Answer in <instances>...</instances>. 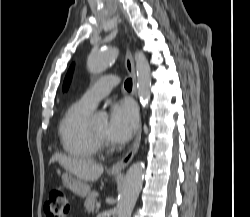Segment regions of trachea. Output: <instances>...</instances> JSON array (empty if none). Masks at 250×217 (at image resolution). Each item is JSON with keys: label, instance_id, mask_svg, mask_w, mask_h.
I'll return each mask as SVG.
<instances>
[{"label": "trachea", "instance_id": "trachea-1", "mask_svg": "<svg viewBox=\"0 0 250 217\" xmlns=\"http://www.w3.org/2000/svg\"><path fill=\"white\" fill-rule=\"evenodd\" d=\"M125 88L128 89V90H131L132 89V79L129 78L125 81V84H124Z\"/></svg>", "mask_w": 250, "mask_h": 217}]
</instances>
